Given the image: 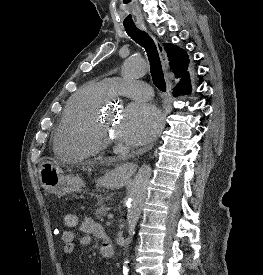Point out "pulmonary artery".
I'll use <instances>...</instances> for the list:
<instances>
[{"instance_id": "e3ab8cb5", "label": "pulmonary artery", "mask_w": 263, "mask_h": 275, "mask_svg": "<svg viewBox=\"0 0 263 275\" xmlns=\"http://www.w3.org/2000/svg\"><path fill=\"white\" fill-rule=\"evenodd\" d=\"M102 85L110 95L122 96L147 100L152 97V88L145 82L139 80H122L118 77L105 78Z\"/></svg>"}]
</instances>
